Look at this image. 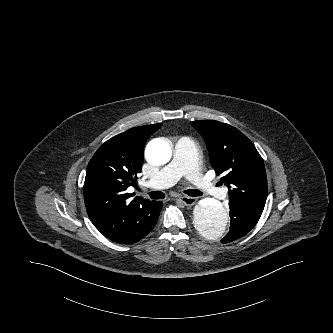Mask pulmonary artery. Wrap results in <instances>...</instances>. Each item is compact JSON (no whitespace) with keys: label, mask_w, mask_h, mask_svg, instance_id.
Masks as SVG:
<instances>
[{"label":"pulmonary artery","mask_w":333,"mask_h":333,"mask_svg":"<svg viewBox=\"0 0 333 333\" xmlns=\"http://www.w3.org/2000/svg\"><path fill=\"white\" fill-rule=\"evenodd\" d=\"M186 176L198 189L211 195L224 194L209 180L205 179L197 164V148L192 139L181 137L174 149L172 161L146 182L147 187L167 188Z\"/></svg>","instance_id":"1"}]
</instances>
